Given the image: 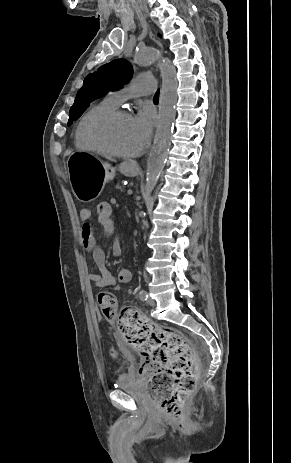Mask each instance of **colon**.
<instances>
[{
  "mask_svg": "<svg viewBox=\"0 0 291 463\" xmlns=\"http://www.w3.org/2000/svg\"><path fill=\"white\" fill-rule=\"evenodd\" d=\"M110 216L112 203L99 201L93 206V218L99 226H112ZM98 306L107 318L119 315L120 334L141 353V375L147 379L150 396L166 415L181 418L183 405L197 382L198 369L190 343L180 331L147 321L130 309L118 314L112 293H99ZM111 355L115 358L117 353L112 350Z\"/></svg>",
  "mask_w": 291,
  "mask_h": 463,
  "instance_id": "colon-1",
  "label": "colon"
}]
</instances>
